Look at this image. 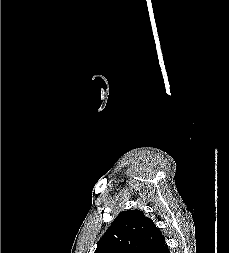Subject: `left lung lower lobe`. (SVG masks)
Returning a JSON list of instances; mask_svg holds the SVG:
<instances>
[{
  "mask_svg": "<svg viewBox=\"0 0 229 253\" xmlns=\"http://www.w3.org/2000/svg\"><path fill=\"white\" fill-rule=\"evenodd\" d=\"M155 253H170L169 248L165 240L158 246Z\"/></svg>",
  "mask_w": 229,
  "mask_h": 253,
  "instance_id": "0a47b994",
  "label": "left lung lower lobe"
}]
</instances>
